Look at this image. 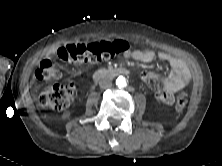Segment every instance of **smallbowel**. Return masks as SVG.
Wrapping results in <instances>:
<instances>
[{
  "instance_id": "obj_1",
  "label": "small bowel",
  "mask_w": 222,
  "mask_h": 166,
  "mask_svg": "<svg viewBox=\"0 0 222 166\" xmlns=\"http://www.w3.org/2000/svg\"><path fill=\"white\" fill-rule=\"evenodd\" d=\"M124 57L132 58L139 62H151L156 57L167 62L170 67V73L166 78H160L151 72H144L142 78L148 81H159L162 89L157 90L156 98L167 105L174 103V94L185 88L190 82L191 75L187 64L180 58L172 56L166 52L156 53L153 50H134L124 53Z\"/></svg>"
}]
</instances>
